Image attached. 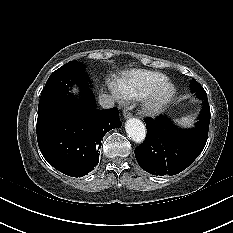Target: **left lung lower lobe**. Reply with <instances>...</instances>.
Instances as JSON below:
<instances>
[{"mask_svg":"<svg viewBox=\"0 0 233 233\" xmlns=\"http://www.w3.org/2000/svg\"><path fill=\"white\" fill-rule=\"evenodd\" d=\"M200 99L203 107L192 129H180L166 116L145 119L146 139L135 148L136 160L143 170L156 176L175 175L195 161L207 142L210 123L207 94Z\"/></svg>","mask_w":233,"mask_h":233,"instance_id":"0a47b994","label":"left lung lower lobe"}]
</instances>
